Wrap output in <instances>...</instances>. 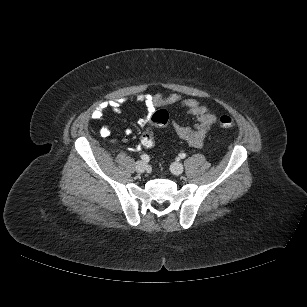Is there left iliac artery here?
Wrapping results in <instances>:
<instances>
[{
  "label": "left iliac artery",
  "instance_id": "44dca946",
  "mask_svg": "<svg viewBox=\"0 0 307 307\" xmlns=\"http://www.w3.org/2000/svg\"><path fill=\"white\" fill-rule=\"evenodd\" d=\"M186 157V153H180L179 158L184 159Z\"/></svg>",
  "mask_w": 307,
  "mask_h": 307
}]
</instances>
